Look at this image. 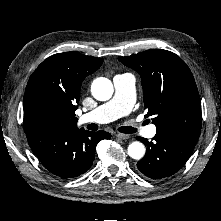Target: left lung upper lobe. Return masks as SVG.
Returning <instances> with one entry per match:
<instances>
[{
	"instance_id": "obj_1",
	"label": "left lung upper lobe",
	"mask_w": 221,
	"mask_h": 221,
	"mask_svg": "<svg viewBox=\"0 0 221 221\" xmlns=\"http://www.w3.org/2000/svg\"><path fill=\"white\" fill-rule=\"evenodd\" d=\"M118 59L140 74L146 116H154L157 132L199 137L201 100L193 75L181 58L152 49Z\"/></svg>"
}]
</instances>
